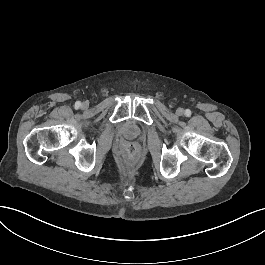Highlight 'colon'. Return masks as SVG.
<instances>
[{
  "label": "colon",
  "instance_id": "obj_1",
  "mask_svg": "<svg viewBox=\"0 0 265 265\" xmlns=\"http://www.w3.org/2000/svg\"><path fill=\"white\" fill-rule=\"evenodd\" d=\"M126 150H127L129 153H132V152L135 150V147H134L132 144H129V145L126 147Z\"/></svg>",
  "mask_w": 265,
  "mask_h": 265
}]
</instances>
